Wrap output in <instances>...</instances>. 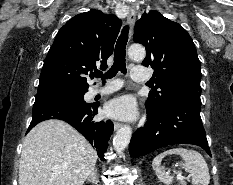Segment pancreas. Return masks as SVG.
<instances>
[{
	"instance_id": "1",
	"label": "pancreas",
	"mask_w": 233,
	"mask_h": 185,
	"mask_svg": "<svg viewBox=\"0 0 233 185\" xmlns=\"http://www.w3.org/2000/svg\"><path fill=\"white\" fill-rule=\"evenodd\" d=\"M179 185H187V184H186L185 181L181 180V181L179 182Z\"/></svg>"
}]
</instances>
